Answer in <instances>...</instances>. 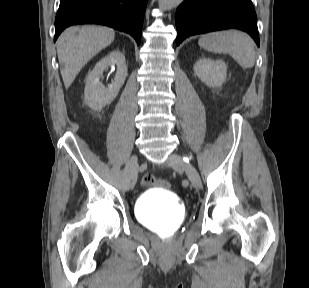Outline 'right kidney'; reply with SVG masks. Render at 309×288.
Wrapping results in <instances>:
<instances>
[{
    "instance_id": "right-kidney-1",
    "label": "right kidney",
    "mask_w": 309,
    "mask_h": 288,
    "mask_svg": "<svg viewBox=\"0 0 309 288\" xmlns=\"http://www.w3.org/2000/svg\"><path fill=\"white\" fill-rule=\"evenodd\" d=\"M116 65L117 71L114 80L106 88L100 82V76L108 67ZM127 77V65L123 55L118 50L110 52L102 58L88 73L85 82L84 99L86 104L94 111H101L105 106L111 104L116 98Z\"/></svg>"
}]
</instances>
